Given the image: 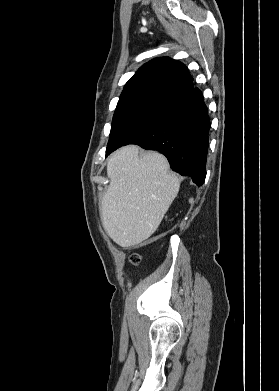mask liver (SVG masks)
<instances>
[{"label": "liver", "instance_id": "1", "mask_svg": "<svg viewBox=\"0 0 279 391\" xmlns=\"http://www.w3.org/2000/svg\"><path fill=\"white\" fill-rule=\"evenodd\" d=\"M139 154L138 146H125L107 164L110 184L101 202V220L110 238L124 248L157 230L180 188L165 156Z\"/></svg>", "mask_w": 279, "mask_h": 391}]
</instances>
